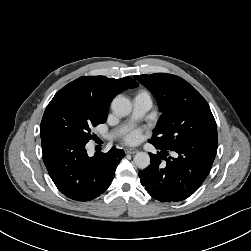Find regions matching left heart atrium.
<instances>
[{
  "label": "left heart atrium",
  "instance_id": "left-heart-atrium-1",
  "mask_svg": "<svg viewBox=\"0 0 251 251\" xmlns=\"http://www.w3.org/2000/svg\"><path fill=\"white\" fill-rule=\"evenodd\" d=\"M140 136H141L140 130H131L124 136V141L128 144H134L139 141Z\"/></svg>",
  "mask_w": 251,
  "mask_h": 251
}]
</instances>
